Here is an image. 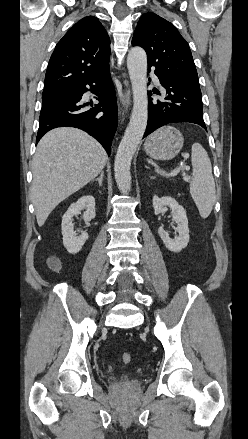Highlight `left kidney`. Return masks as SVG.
I'll use <instances>...</instances> for the list:
<instances>
[{
  "label": "left kidney",
  "instance_id": "5707ae66",
  "mask_svg": "<svg viewBox=\"0 0 248 439\" xmlns=\"http://www.w3.org/2000/svg\"><path fill=\"white\" fill-rule=\"evenodd\" d=\"M168 207L173 213V221L177 224L176 231L179 235L174 239H171L163 226L159 227L158 234L168 250L172 252H180L189 242V228L186 211L183 206H180L178 202L170 196L158 197L155 195L153 197L155 215L166 212Z\"/></svg>",
  "mask_w": 248,
  "mask_h": 439
}]
</instances>
